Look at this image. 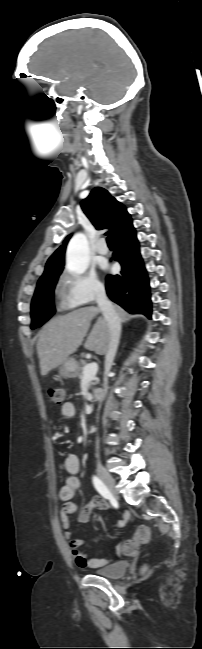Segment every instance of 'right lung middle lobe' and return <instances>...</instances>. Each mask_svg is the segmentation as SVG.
<instances>
[{"mask_svg": "<svg viewBox=\"0 0 202 649\" xmlns=\"http://www.w3.org/2000/svg\"><path fill=\"white\" fill-rule=\"evenodd\" d=\"M60 274L58 272L39 279L31 303L32 329L40 327L54 315L53 294Z\"/></svg>", "mask_w": 202, "mask_h": 649, "instance_id": "obj_1", "label": "right lung middle lobe"}]
</instances>
